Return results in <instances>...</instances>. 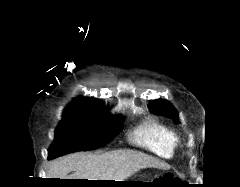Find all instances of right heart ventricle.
Returning <instances> with one entry per match:
<instances>
[{
	"instance_id": "right-heart-ventricle-1",
	"label": "right heart ventricle",
	"mask_w": 240,
	"mask_h": 187,
	"mask_svg": "<svg viewBox=\"0 0 240 187\" xmlns=\"http://www.w3.org/2000/svg\"><path fill=\"white\" fill-rule=\"evenodd\" d=\"M131 140L137 146L165 159L174 157L179 145L177 132L154 119L145 120L137 126L131 134Z\"/></svg>"
}]
</instances>
